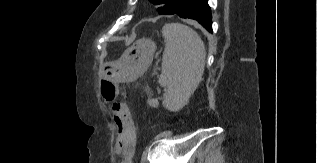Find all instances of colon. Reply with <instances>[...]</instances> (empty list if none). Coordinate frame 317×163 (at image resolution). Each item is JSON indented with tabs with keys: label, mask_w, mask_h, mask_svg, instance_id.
<instances>
[{
	"label": "colon",
	"mask_w": 317,
	"mask_h": 163,
	"mask_svg": "<svg viewBox=\"0 0 317 163\" xmlns=\"http://www.w3.org/2000/svg\"><path fill=\"white\" fill-rule=\"evenodd\" d=\"M101 93L103 98L108 102H113L118 96V86L112 81H103L101 85ZM119 107V104L114 105V110Z\"/></svg>",
	"instance_id": "colon-1"
}]
</instances>
